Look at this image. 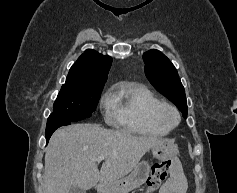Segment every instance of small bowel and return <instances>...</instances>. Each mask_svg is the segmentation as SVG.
I'll return each instance as SVG.
<instances>
[{
	"label": "small bowel",
	"instance_id": "c3829d8e",
	"mask_svg": "<svg viewBox=\"0 0 237 193\" xmlns=\"http://www.w3.org/2000/svg\"><path fill=\"white\" fill-rule=\"evenodd\" d=\"M170 162L172 165L171 176L162 185L159 193H185L188 185L182 168L176 159H172Z\"/></svg>",
	"mask_w": 237,
	"mask_h": 193
}]
</instances>
